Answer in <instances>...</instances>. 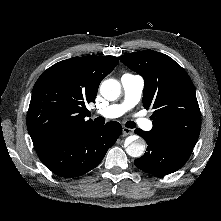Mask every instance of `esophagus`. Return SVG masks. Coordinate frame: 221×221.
<instances>
[{"label":"esophagus","mask_w":221,"mask_h":221,"mask_svg":"<svg viewBox=\"0 0 221 221\" xmlns=\"http://www.w3.org/2000/svg\"><path fill=\"white\" fill-rule=\"evenodd\" d=\"M122 131L124 136L131 135L133 133V130L127 127H123Z\"/></svg>","instance_id":"1"}]
</instances>
